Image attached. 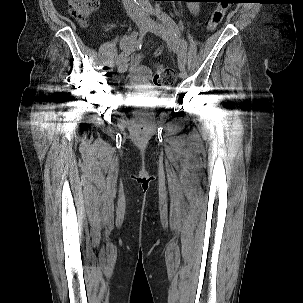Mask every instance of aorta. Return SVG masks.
<instances>
[{
	"label": "aorta",
	"mask_w": 303,
	"mask_h": 303,
	"mask_svg": "<svg viewBox=\"0 0 303 303\" xmlns=\"http://www.w3.org/2000/svg\"><path fill=\"white\" fill-rule=\"evenodd\" d=\"M138 3L143 7H147L150 4L149 0H138Z\"/></svg>",
	"instance_id": "1"
}]
</instances>
